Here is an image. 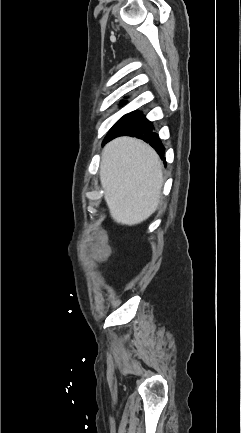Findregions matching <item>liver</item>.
Segmentation results:
<instances>
[{"instance_id": "obj_1", "label": "liver", "mask_w": 241, "mask_h": 433, "mask_svg": "<svg viewBox=\"0 0 241 433\" xmlns=\"http://www.w3.org/2000/svg\"><path fill=\"white\" fill-rule=\"evenodd\" d=\"M162 168L156 151L139 139L119 137L105 146L100 179L115 222L132 226L156 211L163 185Z\"/></svg>"}]
</instances>
